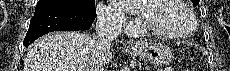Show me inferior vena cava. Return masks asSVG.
Segmentation results:
<instances>
[{
    "label": "inferior vena cava",
    "instance_id": "602c4592",
    "mask_svg": "<svg viewBox=\"0 0 230 71\" xmlns=\"http://www.w3.org/2000/svg\"><path fill=\"white\" fill-rule=\"evenodd\" d=\"M96 35L91 40L95 55L93 65L89 71H103L104 52L109 51L111 42L121 33V24L111 15L99 12L96 20Z\"/></svg>",
    "mask_w": 230,
    "mask_h": 71
}]
</instances>
